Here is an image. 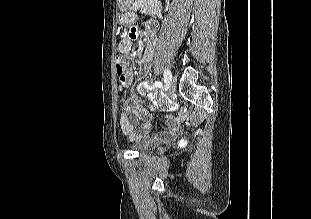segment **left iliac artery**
I'll use <instances>...</instances> for the list:
<instances>
[{
	"mask_svg": "<svg viewBox=\"0 0 311 219\" xmlns=\"http://www.w3.org/2000/svg\"><path fill=\"white\" fill-rule=\"evenodd\" d=\"M171 80H172L171 71L169 69H165L164 70V81H165V83H170Z\"/></svg>",
	"mask_w": 311,
	"mask_h": 219,
	"instance_id": "1",
	"label": "left iliac artery"
}]
</instances>
